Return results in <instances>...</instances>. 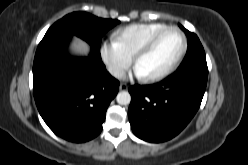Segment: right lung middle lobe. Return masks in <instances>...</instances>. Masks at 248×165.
<instances>
[{
  "instance_id": "1",
  "label": "right lung middle lobe",
  "mask_w": 248,
  "mask_h": 165,
  "mask_svg": "<svg viewBox=\"0 0 248 165\" xmlns=\"http://www.w3.org/2000/svg\"><path fill=\"white\" fill-rule=\"evenodd\" d=\"M118 23V20L102 19L86 12H74L55 22L48 29L39 45L75 35L87 41L92 49L100 54L102 36Z\"/></svg>"
}]
</instances>
